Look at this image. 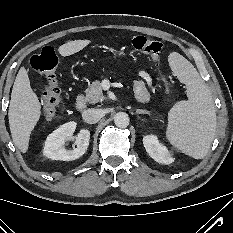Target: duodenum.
I'll list each match as a JSON object with an SVG mask.
<instances>
[{"label": "duodenum", "mask_w": 233, "mask_h": 233, "mask_svg": "<svg viewBox=\"0 0 233 233\" xmlns=\"http://www.w3.org/2000/svg\"><path fill=\"white\" fill-rule=\"evenodd\" d=\"M76 109L80 112L86 109V101L83 95H78L75 103Z\"/></svg>", "instance_id": "duodenum-1"}]
</instances>
